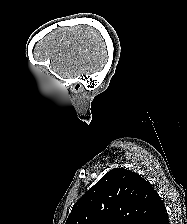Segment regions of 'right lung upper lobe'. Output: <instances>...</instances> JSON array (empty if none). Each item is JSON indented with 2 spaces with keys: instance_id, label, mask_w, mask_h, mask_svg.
<instances>
[{
  "instance_id": "cb5924a9",
  "label": "right lung upper lobe",
  "mask_w": 187,
  "mask_h": 224,
  "mask_svg": "<svg viewBox=\"0 0 187 224\" xmlns=\"http://www.w3.org/2000/svg\"><path fill=\"white\" fill-rule=\"evenodd\" d=\"M166 215L148 181L130 170L115 168L74 204L65 224H160Z\"/></svg>"
}]
</instances>
